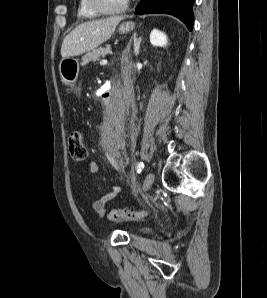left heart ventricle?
Segmentation results:
<instances>
[{
    "label": "left heart ventricle",
    "mask_w": 267,
    "mask_h": 298,
    "mask_svg": "<svg viewBox=\"0 0 267 298\" xmlns=\"http://www.w3.org/2000/svg\"><path fill=\"white\" fill-rule=\"evenodd\" d=\"M103 5L109 10L120 8L126 0H101Z\"/></svg>",
    "instance_id": "obj_1"
}]
</instances>
